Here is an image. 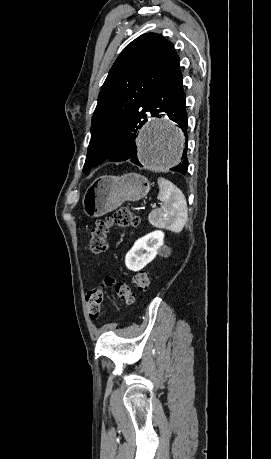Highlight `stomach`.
<instances>
[{
  "mask_svg": "<svg viewBox=\"0 0 271 459\" xmlns=\"http://www.w3.org/2000/svg\"><path fill=\"white\" fill-rule=\"evenodd\" d=\"M150 182L140 174L100 176L87 188L83 208L90 218H100L120 208L124 202H138L147 196Z\"/></svg>",
  "mask_w": 271,
  "mask_h": 459,
  "instance_id": "0dacf381",
  "label": "stomach"
}]
</instances>
